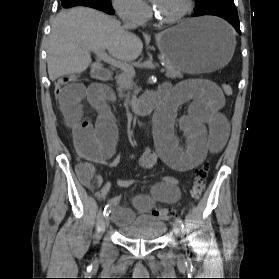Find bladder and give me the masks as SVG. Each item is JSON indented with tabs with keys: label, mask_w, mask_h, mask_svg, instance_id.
I'll list each match as a JSON object with an SVG mask.
<instances>
[{
	"label": "bladder",
	"mask_w": 279,
	"mask_h": 279,
	"mask_svg": "<svg viewBox=\"0 0 279 279\" xmlns=\"http://www.w3.org/2000/svg\"><path fill=\"white\" fill-rule=\"evenodd\" d=\"M119 234L134 241H155L167 230V224L154 216L143 215L132 220L128 225L118 226Z\"/></svg>",
	"instance_id": "bladder-1"
}]
</instances>
